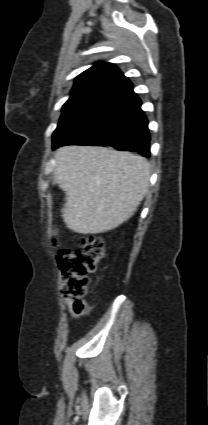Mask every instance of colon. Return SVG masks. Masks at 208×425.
<instances>
[{
    "label": "colon",
    "instance_id": "colon-1",
    "mask_svg": "<svg viewBox=\"0 0 208 425\" xmlns=\"http://www.w3.org/2000/svg\"><path fill=\"white\" fill-rule=\"evenodd\" d=\"M77 246L74 251L60 250L57 261L63 279V294L83 307L87 305L84 298L89 276L104 258L105 247L102 238L92 234L80 236Z\"/></svg>",
    "mask_w": 208,
    "mask_h": 425
}]
</instances>
